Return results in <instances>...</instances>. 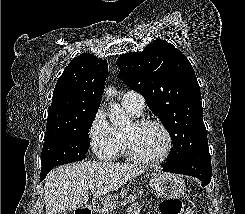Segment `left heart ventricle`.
<instances>
[{
    "instance_id": "b2bd125f",
    "label": "left heart ventricle",
    "mask_w": 245,
    "mask_h": 214,
    "mask_svg": "<svg viewBox=\"0 0 245 214\" xmlns=\"http://www.w3.org/2000/svg\"><path fill=\"white\" fill-rule=\"evenodd\" d=\"M124 131L131 136L135 149L144 157H157L165 149L166 137L156 126L136 128L130 123Z\"/></svg>"
}]
</instances>
